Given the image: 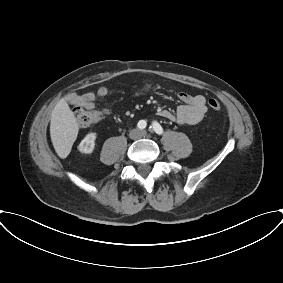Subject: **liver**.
Listing matches in <instances>:
<instances>
[{
  "instance_id": "1",
  "label": "liver",
  "mask_w": 283,
  "mask_h": 283,
  "mask_svg": "<svg viewBox=\"0 0 283 283\" xmlns=\"http://www.w3.org/2000/svg\"><path fill=\"white\" fill-rule=\"evenodd\" d=\"M79 127L73 112L64 99H61L51 113L50 136L60 158H66L78 135Z\"/></svg>"
}]
</instances>
